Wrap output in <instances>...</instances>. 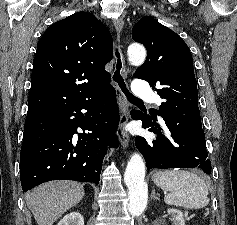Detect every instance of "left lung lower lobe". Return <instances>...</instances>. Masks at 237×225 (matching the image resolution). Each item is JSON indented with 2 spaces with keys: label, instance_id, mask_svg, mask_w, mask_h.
Listing matches in <instances>:
<instances>
[{
  "label": "left lung lower lobe",
  "instance_id": "obj_1",
  "mask_svg": "<svg viewBox=\"0 0 237 225\" xmlns=\"http://www.w3.org/2000/svg\"><path fill=\"white\" fill-rule=\"evenodd\" d=\"M131 116L134 120L141 119L142 127L157 135L154 139L135 138L148 170L196 167L211 173L198 105L160 114L163 126L157 123L156 117L139 110H132Z\"/></svg>",
  "mask_w": 237,
  "mask_h": 225
}]
</instances>
